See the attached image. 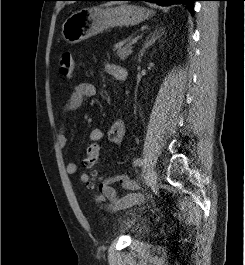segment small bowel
I'll list each match as a JSON object with an SVG mask.
<instances>
[{"mask_svg":"<svg viewBox=\"0 0 245 265\" xmlns=\"http://www.w3.org/2000/svg\"><path fill=\"white\" fill-rule=\"evenodd\" d=\"M106 73L117 82L124 81L126 78V70L114 63H106L104 65ZM96 94V88L92 83L81 82L76 84L70 93V96L62 108L61 117L64 121L68 114L78 110L83 103L93 97ZM125 133V124L122 120H116L108 131V139L114 143L119 144ZM103 138V131L100 128H93L90 131L89 139L90 143H97ZM67 137L65 134L64 124L58 134V143L61 148L67 146ZM78 171V167L74 162H69L66 165V172L68 175H75ZM79 180L84 184H89L91 177L88 173H81ZM119 183L122 188L129 191L124 197H119L116 190L112 187V184ZM101 193V200H108V203L104 204V208L108 211H118L135 204H141L144 202V196L139 193V184L128 177L125 174L111 175L101 181L98 186Z\"/></svg>","mask_w":245,"mask_h":265,"instance_id":"1","label":"small bowel"}]
</instances>
